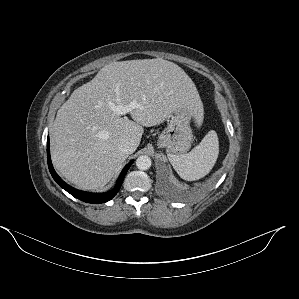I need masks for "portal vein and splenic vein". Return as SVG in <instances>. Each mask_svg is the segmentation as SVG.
Here are the masks:
<instances>
[{"label":"portal vein and splenic vein","mask_w":299,"mask_h":299,"mask_svg":"<svg viewBox=\"0 0 299 299\" xmlns=\"http://www.w3.org/2000/svg\"><path fill=\"white\" fill-rule=\"evenodd\" d=\"M139 105L133 101L128 105L122 106V105H118L115 107V110L118 114L120 115H125L127 113H129L130 111H132L133 109L137 108Z\"/></svg>","instance_id":"1"}]
</instances>
